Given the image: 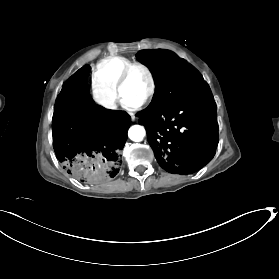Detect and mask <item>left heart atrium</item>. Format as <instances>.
Here are the masks:
<instances>
[{"instance_id": "39dd6f15", "label": "left heart atrium", "mask_w": 279, "mask_h": 279, "mask_svg": "<svg viewBox=\"0 0 279 279\" xmlns=\"http://www.w3.org/2000/svg\"><path fill=\"white\" fill-rule=\"evenodd\" d=\"M123 103H124L125 107L128 109H135L138 106V103H127L124 101H123Z\"/></svg>"}]
</instances>
